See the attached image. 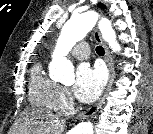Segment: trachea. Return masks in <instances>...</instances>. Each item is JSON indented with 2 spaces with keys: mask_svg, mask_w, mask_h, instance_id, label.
I'll use <instances>...</instances> for the list:
<instances>
[{
  "mask_svg": "<svg viewBox=\"0 0 153 134\" xmlns=\"http://www.w3.org/2000/svg\"><path fill=\"white\" fill-rule=\"evenodd\" d=\"M96 52L98 55H104L105 51H104V48L102 46H97L96 47Z\"/></svg>",
  "mask_w": 153,
  "mask_h": 134,
  "instance_id": "trachea-1",
  "label": "trachea"
}]
</instances>
